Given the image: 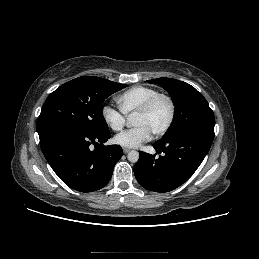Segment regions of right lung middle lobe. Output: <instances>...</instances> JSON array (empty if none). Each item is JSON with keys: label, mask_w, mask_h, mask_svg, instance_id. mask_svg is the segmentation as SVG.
Returning <instances> with one entry per match:
<instances>
[{"label": "right lung middle lobe", "mask_w": 259, "mask_h": 259, "mask_svg": "<svg viewBox=\"0 0 259 259\" xmlns=\"http://www.w3.org/2000/svg\"><path fill=\"white\" fill-rule=\"evenodd\" d=\"M126 87L104 78L83 76L52 92L37 119V131L70 127L89 133L109 132L102 114L104 100Z\"/></svg>", "instance_id": "obj_1"}]
</instances>
